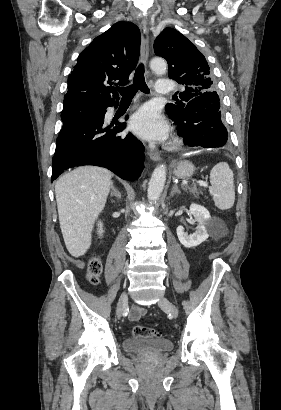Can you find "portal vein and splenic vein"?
Masks as SVG:
<instances>
[{
	"instance_id": "1",
	"label": "portal vein and splenic vein",
	"mask_w": 281,
	"mask_h": 410,
	"mask_svg": "<svg viewBox=\"0 0 281 410\" xmlns=\"http://www.w3.org/2000/svg\"><path fill=\"white\" fill-rule=\"evenodd\" d=\"M197 183H198L200 186L208 187V184H207L206 182L202 181V180L197 181Z\"/></svg>"
}]
</instances>
